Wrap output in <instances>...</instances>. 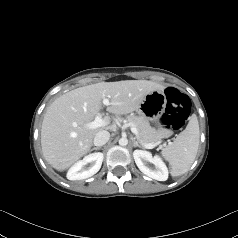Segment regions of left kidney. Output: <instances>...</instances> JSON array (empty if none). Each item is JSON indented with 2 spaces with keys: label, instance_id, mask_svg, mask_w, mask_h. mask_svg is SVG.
I'll use <instances>...</instances> for the list:
<instances>
[{
  "label": "left kidney",
  "instance_id": "1",
  "mask_svg": "<svg viewBox=\"0 0 238 238\" xmlns=\"http://www.w3.org/2000/svg\"><path fill=\"white\" fill-rule=\"evenodd\" d=\"M133 157L136 165L145 175L158 181H166L168 179V169L159 156L153 157L148 151L135 150Z\"/></svg>",
  "mask_w": 238,
  "mask_h": 238
}]
</instances>
